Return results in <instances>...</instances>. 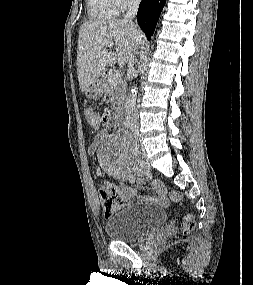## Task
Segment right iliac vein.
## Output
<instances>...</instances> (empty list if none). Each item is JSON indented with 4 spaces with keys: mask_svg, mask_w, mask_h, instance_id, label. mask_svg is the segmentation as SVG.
<instances>
[{
    "mask_svg": "<svg viewBox=\"0 0 253 285\" xmlns=\"http://www.w3.org/2000/svg\"><path fill=\"white\" fill-rule=\"evenodd\" d=\"M140 171L142 173H147L150 169V163L145 156H142L139 162Z\"/></svg>",
    "mask_w": 253,
    "mask_h": 285,
    "instance_id": "right-iliac-vein-1",
    "label": "right iliac vein"
}]
</instances>
